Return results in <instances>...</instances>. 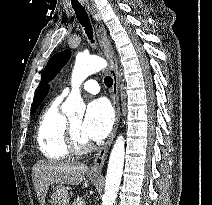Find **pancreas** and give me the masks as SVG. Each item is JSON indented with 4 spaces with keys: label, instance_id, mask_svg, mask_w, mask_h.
Returning <instances> with one entry per match:
<instances>
[{
    "label": "pancreas",
    "instance_id": "1",
    "mask_svg": "<svg viewBox=\"0 0 212 205\" xmlns=\"http://www.w3.org/2000/svg\"><path fill=\"white\" fill-rule=\"evenodd\" d=\"M72 205H85L84 199L83 198H77Z\"/></svg>",
    "mask_w": 212,
    "mask_h": 205
}]
</instances>
